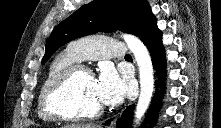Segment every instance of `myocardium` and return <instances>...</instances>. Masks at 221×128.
<instances>
[{
	"mask_svg": "<svg viewBox=\"0 0 221 128\" xmlns=\"http://www.w3.org/2000/svg\"><path fill=\"white\" fill-rule=\"evenodd\" d=\"M79 73H87L92 77V73L88 67L82 64H75L65 69L64 72L48 84L41 98L42 111L45 115L63 121H77L96 119L102 114V106L93 111L76 113L66 111L57 105L59 95L68 88L75 76Z\"/></svg>",
	"mask_w": 221,
	"mask_h": 128,
	"instance_id": "obj_1",
	"label": "myocardium"
}]
</instances>
